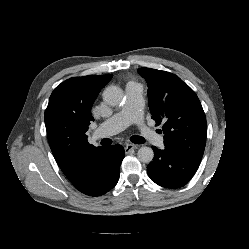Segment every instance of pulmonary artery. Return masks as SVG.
Listing matches in <instances>:
<instances>
[{"instance_id":"1","label":"pulmonary artery","mask_w":249,"mask_h":249,"mask_svg":"<svg viewBox=\"0 0 249 249\" xmlns=\"http://www.w3.org/2000/svg\"><path fill=\"white\" fill-rule=\"evenodd\" d=\"M143 88L138 84L127 85L123 109L103 122L95 131L94 138L102 139L122 131L131 123H138L142 137L156 147H163L164 138L142 122Z\"/></svg>"}]
</instances>
